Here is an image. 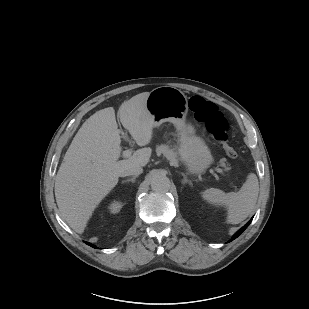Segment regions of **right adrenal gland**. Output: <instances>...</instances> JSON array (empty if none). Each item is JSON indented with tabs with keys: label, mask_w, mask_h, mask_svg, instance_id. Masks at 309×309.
<instances>
[{
	"label": "right adrenal gland",
	"mask_w": 309,
	"mask_h": 309,
	"mask_svg": "<svg viewBox=\"0 0 309 309\" xmlns=\"http://www.w3.org/2000/svg\"><path fill=\"white\" fill-rule=\"evenodd\" d=\"M137 178V176H133L132 178H129V179H126V180H123L122 183H127V182H132V183H135V179Z\"/></svg>",
	"instance_id": "1"
}]
</instances>
